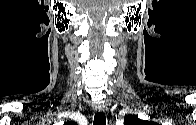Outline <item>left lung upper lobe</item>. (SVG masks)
<instances>
[{
    "label": "left lung upper lobe",
    "mask_w": 196,
    "mask_h": 125,
    "mask_svg": "<svg viewBox=\"0 0 196 125\" xmlns=\"http://www.w3.org/2000/svg\"><path fill=\"white\" fill-rule=\"evenodd\" d=\"M146 122L148 121L141 120L138 116H128L125 119V125H145Z\"/></svg>",
    "instance_id": "5c2ea615"
}]
</instances>
